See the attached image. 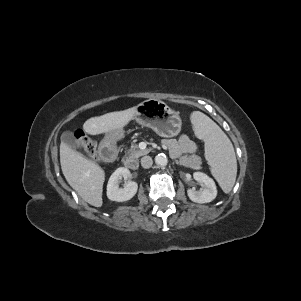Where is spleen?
<instances>
[{
  "instance_id": "spleen-1",
  "label": "spleen",
  "mask_w": 301,
  "mask_h": 301,
  "mask_svg": "<svg viewBox=\"0 0 301 301\" xmlns=\"http://www.w3.org/2000/svg\"><path fill=\"white\" fill-rule=\"evenodd\" d=\"M190 119L196 134L205 142V156L212 175L222 190L229 193L237 175V161L230 139L202 112L194 111Z\"/></svg>"
}]
</instances>
